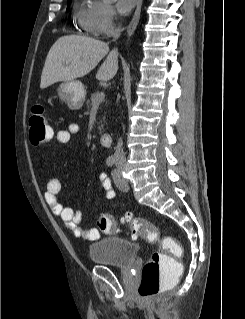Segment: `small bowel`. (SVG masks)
Returning a JSON list of instances; mask_svg holds the SVG:
<instances>
[{"label": "small bowel", "mask_w": 245, "mask_h": 319, "mask_svg": "<svg viewBox=\"0 0 245 319\" xmlns=\"http://www.w3.org/2000/svg\"><path fill=\"white\" fill-rule=\"evenodd\" d=\"M80 128L77 124H70L66 129L60 130L56 135L58 144H66L71 140L73 135L78 134ZM100 183L104 192V197L107 200L115 198L116 193L112 188L110 179L107 174L99 175ZM62 190L61 181L57 177H51L46 186L45 200L52 212L59 217L64 225L75 235L83 238L86 241H94L101 237V231L96 227L81 229L82 211L65 206L59 200V194Z\"/></svg>", "instance_id": "obj_1"}]
</instances>
